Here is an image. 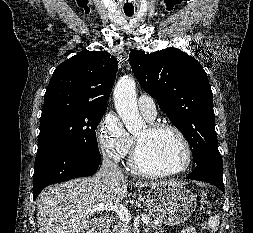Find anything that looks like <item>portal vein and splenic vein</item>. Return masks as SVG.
Masks as SVG:
<instances>
[{"instance_id": "18ae733b", "label": "portal vein and splenic vein", "mask_w": 253, "mask_h": 233, "mask_svg": "<svg viewBox=\"0 0 253 233\" xmlns=\"http://www.w3.org/2000/svg\"><path fill=\"white\" fill-rule=\"evenodd\" d=\"M113 211L118 214V216L123 219L124 221L130 222L131 221V214L128 211V209L120 204H107V203H102L98 204L96 206H93L89 209H87L84 213L88 216H91L92 214L100 211ZM141 220L143 223L148 224L149 223V218L147 216L142 215Z\"/></svg>"}]
</instances>
